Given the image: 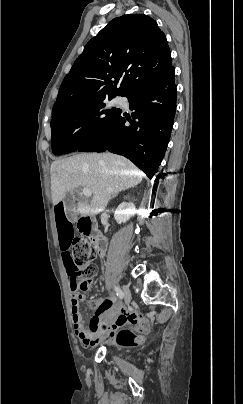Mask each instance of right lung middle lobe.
Masks as SVG:
<instances>
[{
	"instance_id": "right-lung-middle-lobe-1",
	"label": "right lung middle lobe",
	"mask_w": 243,
	"mask_h": 404,
	"mask_svg": "<svg viewBox=\"0 0 243 404\" xmlns=\"http://www.w3.org/2000/svg\"><path fill=\"white\" fill-rule=\"evenodd\" d=\"M102 97L60 113L51 120L52 152L55 155L76 151L98 135L120 109L107 108ZM114 96L108 97L109 100Z\"/></svg>"
}]
</instances>
